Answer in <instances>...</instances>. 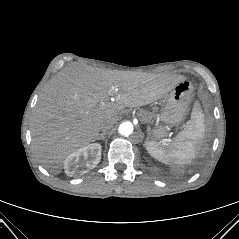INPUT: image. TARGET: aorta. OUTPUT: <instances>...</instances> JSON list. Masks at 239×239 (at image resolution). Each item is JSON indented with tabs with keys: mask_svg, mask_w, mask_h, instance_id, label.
<instances>
[{
	"mask_svg": "<svg viewBox=\"0 0 239 239\" xmlns=\"http://www.w3.org/2000/svg\"><path fill=\"white\" fill-rule=\"evenodd\" d=\"M118 132L119 134H121L122 136H129L133 133V125L131 122H123L119 125L118 128Z\"/></svg>",
	"mask_w": 239,
	"mask_h": 239,
	"instance_id": "obj_1",
	"label": "aorta"
}]
</instances>
